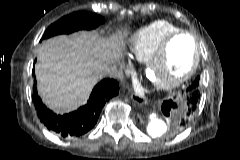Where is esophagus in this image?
<instances>
[{
    "instance_id": "esophagus-1",
    "label": "esophagus",
    "mask_w": 240,
    "mask_h": 160,
    "mask_svg": "<svg viewBox=\"0 0 240 160\" xmlns=\"http://www.w3.org/2000/svg\"><path fill=\"white\" fill-rule=\"evenodd\" d=\"M131 99L137 103L138 105H145L147 103V99L145 97V94L140 91V90H136L135 92H133L131 94Z\"/></svg>"
}]
</instances>
